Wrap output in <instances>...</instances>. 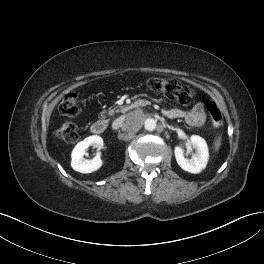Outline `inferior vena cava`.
Returning <instances> with one entry per match:
<instances>
[{
  "mask_svg": "<svg viewBox=\"0 0 264 264\" xmlns=\"http://www.w3.org/2000/svg\"><path fill=\"white\" fill-rule=\"evenodd\" d=\"M124 123V119L123 118H118L116 119L113 124H112V128L113 129H118L119 127L122 126V124Z\"/></svg>",
  "mask_w": 264,
  "mask_h": 264,
  "instance_id": "1",
  "label": "inferior vena cava"
}]
</instances>
